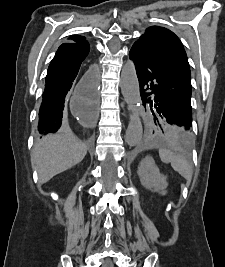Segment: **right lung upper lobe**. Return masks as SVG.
Segmentation results:
<instances>
[{"label": "right lung upper lobe", "instance_id": "1", "mask_svg": "<svg viewBox=\"0 0 225 267\" xmlns=\"http://www.w3.org/2000/svg\"><path fill=\"white\" fill-rule=\"evenodd\" d=\"M70 39L73 41V42H86L85 41V38L83 36H80V35H74V36H71Z\"/></svg>", "mask_w": 225, "mask_h": 267}]
</instances>
